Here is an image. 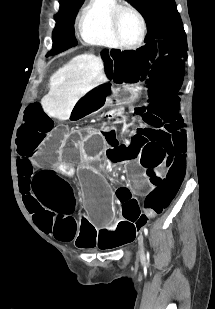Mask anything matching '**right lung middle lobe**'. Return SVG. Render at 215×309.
I'll return each instance as SVG.
<instances>
[{"mask_svg": "<svg viewBox=\"0 0 215 309\" xmlns=\"http://www.w3.org/2000/svg\"><path fill=\"white\" fill-rule=\"evenodd\" d=\"M84 0H60V11L56 15V27L53 31V49L47 56L58 54L77 45L74 36V21Z\"/></svg>", "mask_w": 215, "mask_h": 309, "instance_id": "dd1d6c3e", "label": "right lung middle lobe"}]
</instances>
